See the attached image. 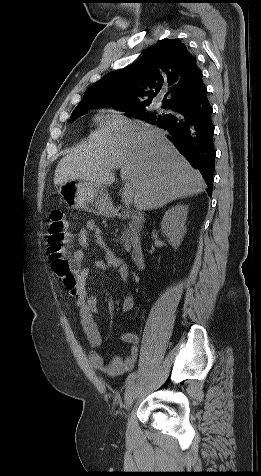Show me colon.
<instances>
[{
    "label": "colon",
    "mask_w": 261,
    "mask_h": 476,
    "mask_svg": "<svg viewBox=\"0 0 261 476\" xmlns=\"http://www.w3.org/2000/svg\"><path fill=\"white\" fill-rule=\"evenodd\" d=\"M71 228L60 210L51 212L48 251L52 269L67 290H74L77 285V272L68 257L67 243Z\"/></svg>",
    "instance_id": "1"
}]
</instances>
